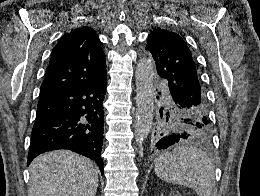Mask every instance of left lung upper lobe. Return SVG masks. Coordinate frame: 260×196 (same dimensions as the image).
Instances as JSON below:
<instances>
[{"instance_id":"1","label":"left lung upper lobe","mask_w":260,"mask_h":196,"mask_svg":"<svg viewBox=\"0 0 260 196\" xmlns=\"http://www.w3.org/2000/svg\"><path fill=\"white\" fill-rule=\"evenodd\" d=\"M145 50L152 54L157 72L168 80L170 90L166 102L161 108L158 106L148 137L149 149L152 153L159 150V142L170 133L183 134L180 141L209 142L212 136L209 106L196 59L183 37L171 30L154 29Z\"/></svg>"}]
</instances>
